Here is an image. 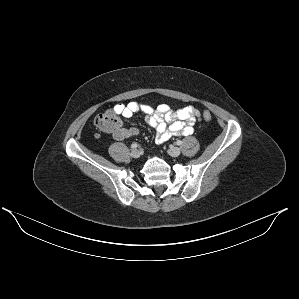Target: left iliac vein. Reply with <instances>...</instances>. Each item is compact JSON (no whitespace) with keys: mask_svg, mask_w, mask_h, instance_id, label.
I'll use <instances>...</instances> for the list:
<instances>
[{"mask_svg":"<svg viewBox=\"0 0 299 299\" xmlns=\"http://www.w3.org/2000/svg\"><path fill=\"white\" fill-rule=\"evenodd\" d=\"M168 153L172 157H178L180 155V153H181V150L178 147H170L168 149Z\"/></svg>","mask_w":299,"mask_h":299,"instance_id":"obj_1","label":"left iliac vein"}]
</instances>
